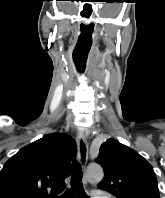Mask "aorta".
Masks as SVG:
<instances>
[{
	"label": "aorta",
	"mask_w": 165,
	"mask_h": 198,
	"mask_svg": "<svg viewBox=\"0 0 165 198\" xmlns=\"http://www.w3.org/2000/svg\"><path fill=\"white\" fill-rule=\"evenodd\" d=\"M104 177L103 169L100 165L92 164L87 168V178L91 183H98Z\"/></svg>",
	"instance_id": "aorta-1"
}]
</instances>
